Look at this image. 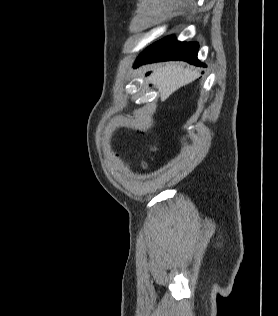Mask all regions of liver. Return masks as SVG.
<instances>
[{
    "instance_id": "liver-1",
    "label": "liver",
    "mask_w": 278,
    "mask_h": 316,
    "mask_svg": "<svg viewBox=\"0 0 278 316\" xmlns=\"http://www.w3.org/2000/svg\"><path fill=\"white\" fill-rule=\"evenodd\" d=\"M197 77L198 73L193 68H185L182 63L170 62L155 66L147 81L159 90L163 101L178 88L192 82Z\"/></svg>"
}]
</instances>
